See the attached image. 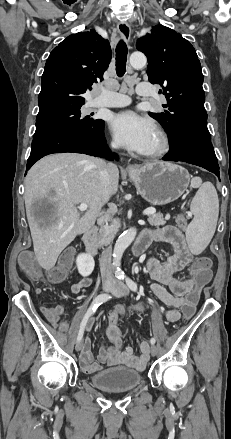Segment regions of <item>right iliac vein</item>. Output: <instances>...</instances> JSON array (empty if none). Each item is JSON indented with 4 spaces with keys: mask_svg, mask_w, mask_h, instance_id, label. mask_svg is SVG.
Returning <instances> with one entry per match:
<instances>
[{
    "mask_svg": "<svg viewBox=\"0 0 231 439\" xmlns=\"http://www.w3.org/2000/svg\"><path fill=\"white\" fill-rule=\"evenodd\" d=\"M114 288H115L114 285L105 284V285H103L102 290H103V292H109V291H113ZM82 346H83L82 340L78 341L76 344V347H75L76 351H80L82 349Z\"/></svg>",
    "mask_w": 231,
    "mask_h": 439,
    "instance_id": "1",
    "label": "right iliac vein"
}]
</instances>
